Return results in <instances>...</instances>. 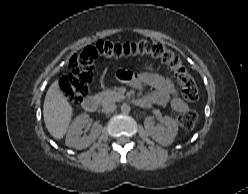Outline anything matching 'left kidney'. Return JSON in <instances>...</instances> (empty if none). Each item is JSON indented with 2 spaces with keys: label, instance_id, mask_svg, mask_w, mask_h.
Instances as JSON below:
<instances>
[{
  "label": "left kidney",
  "instance_id": "1",
  "mask_svg": "<svg viewBox=\"0 0 248 194\" xmlns=\"http://www.w3.org/2000/svg\"><path fill=\"white\" fill-rule=\"evenodd\" d=\"M164 126H151L148 128L150 137L163 146L170 145L178 131L176 121L169 116H165L162 120Z\"/></svg>",
  "mask_w": 248,
  "mask_h": 194
}]
</instances>
